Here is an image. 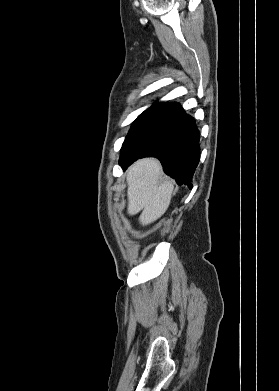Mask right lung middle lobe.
Returning a JSON list of instances; mask_svg holds the SVG:
<instances>
[{
    "mask_svg": "<svg viewBox=\"0 0 279 391\" xmlns=\"http://www.w3.org/2000/svg\"><path fill=\"white\" fill-rule=\"evenodd\" d=\"M162 110L148 109L144 111L139 117L133 122L128 135L125 138L123 146L129 144L135 138H137L151 123L156 119Z\"/></svg>",
    "mask_w": 279,
    "mask_h": 391,
    "instance_id": "right-lung-middle-lobe-1",
    "label": "right lung middle lobe"
}]
</instances>
